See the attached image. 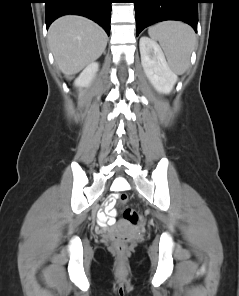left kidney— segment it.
Returning <instances> with one entry per match:
<instances>
[{"instance_id":"5707ae66","label":"left kidney","mask_w":239,"mask_h":296,"mask_svg":"<svg viewBox=\"0 0 239 296\" xmlns=\"http://www.w3.org/2000/svg\"><path fill=\"white\" fill-rule=\"evenodd\" d=\"M139 47L146 77L157 92L169 94L178 77L168 66L162 49L156 41L147 36L140 38Z\"/></svg>"}]
</instances>
